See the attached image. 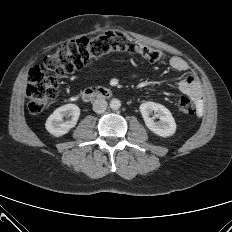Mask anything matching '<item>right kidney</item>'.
Returning a JSON list of instances; mask_svg holds the SVG:
<instances>
[{"instance_id":"obj_1","label":"right kidney","mask_w":232,"mask_h":232,"mask_svg":"<svg viewBox=\"0 0 232 232\" xmlns=\"http://www.w3.org/2000/svg\"><path fill=\"white\" fill-rule=\"evenodd\" d=\"M80 116V108L75 104H66L56 110L48 117L45 126L46 130L55 137L62 136L75 127ZM70 120L64 121L63 118Z\"/></svg>"}]
</instances>
